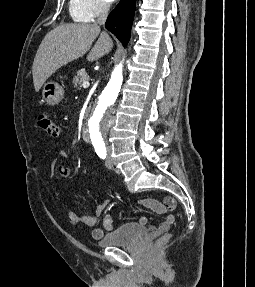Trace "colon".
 <instances>
[{
    "label": "colon",
    "mask_w": 255,
    "mask_h": 287,
    "mask_svg": "<svg viewBox=\"0 0 255 287\" xmlns=\"http://www.w3.org/2000/svg\"><path fill=\"white\" fill-rule=\"evenodd\" d=\"M37 123L40 128H42L49 136L56 137L60 133L59 126L53 121L47 113H40L37 117ZM170 238L169 234L164 235L161 237L157 245L162 246L164 245Z\"/></svg>",
    "instance_id": "1"
}]
</instances>
